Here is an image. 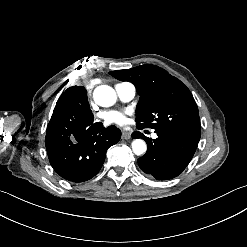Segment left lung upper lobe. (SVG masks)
<instances>
[{"label":"left lung upper lobe","mask_w":247,"mask_h":247,"mask_svg":"<svg viewBox=\"0 0 247 247\" xmlns=\"http://www.w3.org/2000/svg\"><path fill=\"white\" fill-rule=\"evenodd\" d=\"M109 74L135 85L140 95L136 108L139 128L173 131L200 140L197 104L190 90L179 79L151 64L111 71Z\"/></svg>","instance_id":"left-lung-upper-lobe-1"}]
</instances>
